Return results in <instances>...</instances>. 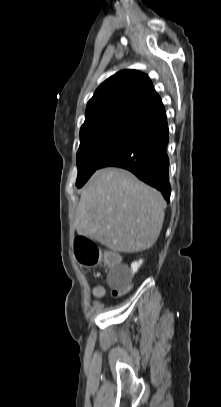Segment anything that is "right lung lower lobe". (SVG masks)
<instances>
[{
  "instance_id": "1",
  "label": "right lung lower lobe",
  "mask_w": 221,
  "mask_h": 407,
  "mask_svg": "<svg viewBox=\"0 0 221 407\" xmlns=\"http://www.w3.org/2000/svg\"><path fill=\"white\" fill-rule=\"evenodd\" d=\"M168 125L165 110L144 121L100 165L127 169L158 189L168 202L169 184Z\"/></svg>"
}]
</instances>
